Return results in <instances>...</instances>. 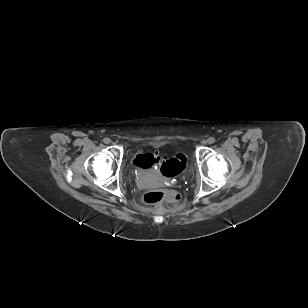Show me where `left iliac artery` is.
I'll use <instances>...</instances> for the list:
<instances>
[{"label":"left iliac artery","mask_w":308,"mask_h":308,"mask_svg":"<svg viewBox=\"0 0 308 308\" xmlns=\"http://www.w3.org/2000/svg\"><path fill=\"white\" fill-rule=\"evenodd\" d=\"M208 142H209V143H214V142H215V139H214V138H209Z\"/></svg>","instance_id":"1"}]
</instances>
